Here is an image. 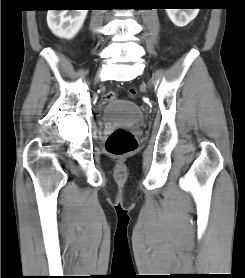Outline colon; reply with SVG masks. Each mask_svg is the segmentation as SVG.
Wrapping results in <instances>:
<instances>
[{"label": "colon", "instance_id": "1", "mask_svg": "<svg viewBox=\"0 0 245 278\" xmlns=\"http://www.w3.org/2000/svg\"><path fill=\"white\" fill-rule=\"evenodd\" d=\"M135 93V89H129L131 96H135ZM104 98L107 101H112L116 98V95L114 92H106ZM137 146V140L129 130L116 128L107 138L105 149L111 157L123 158L134 153Z\"/></svg>", "mask_w": 245, "mask_h": 278}]
</instances>
